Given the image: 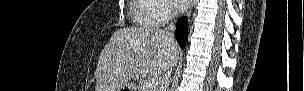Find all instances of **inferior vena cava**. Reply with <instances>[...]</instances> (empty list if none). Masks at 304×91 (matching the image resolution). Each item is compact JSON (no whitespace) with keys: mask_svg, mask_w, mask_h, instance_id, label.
<instances>
[{"mask_svg":"<svg viewBox=\"0 0 304 91\" xmlns=\"http://www.w3.org/2000/svg\"><path fill=\"white\" fill-rule=\"evenodd\" d=\"M174 30H175V25L171 23L164 31L166 34L169 36L171 40H175L174 38ZM172 73V68L168 69L164 74H163V79L160 83V90L159 91H167L169 82H170V76Z\"/></svg>","mask_w":304,"mask_h":91,"instance_id":"602c4592","label":"inferior vena cava"}]
</instances>
